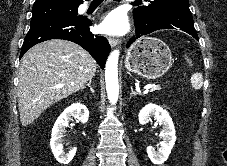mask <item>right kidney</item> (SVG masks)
<instances>
[{
    "mask_svg": "<svg viewBox=\"0 0 227 166\" xmlns=\"http://www.w3.org/2000/svg\"><path fill=\"white\" fill-rule=\"evenodd\" d=\"M74 117L82 124H85L89 118L87 107L81 103H75L66 108L63 113L57 118L54 127L52 128L50 147L56 160L61 164H68L76 154V147L65 153L62 148L63 134L69 120Z\"/></svg>",
    "mask_w": 227,
    "mask_h": 166,
    "instance_id": "1",
    "label": "right kidney"
}]
</instances>
